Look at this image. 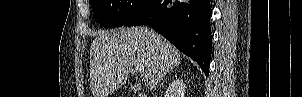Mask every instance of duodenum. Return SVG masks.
Wrapping results in <instances>:
<instances>
[{
    "instance_id": "410a0bca",
    "label": "duodenum",
    "mask_w": 302,
    "mask_h": 97,
    "mask_svg": "<svg viewBox=\"0 0 302 97\" xmlns=\"http://www.w3.org/2000/svg\"><path fill=\"white\" fill-rule=\"evenodd\" d=\"M139 97H145V95L144 94H140Z\"/></svg>"
}]
</instances>
